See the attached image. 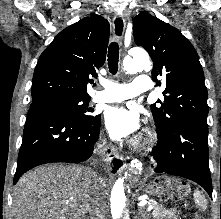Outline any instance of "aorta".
I'll return each mask as SVG.
<instances>
[{
  "mask_svg": "<svg viewBox=\"0 0 221 219\" xmlns=\"http://www.w3.org/2000/svg\"><path fill=\"white\" fill-rule=\"evenodd\" d=\"M151 62L148 54L143 50L134 49L129 52L123 60V70L127 73L134 74L145 68L150 67ZM134 185L129 184L127 179L123 181L119 178L111 195V212L113 219H129L127 213V204L130 200V190Z\"/></svg>",
  "mask_w": 221,
  "mask_h": 219,
  "instance_id": "aorta-1",
  "label": "aorta"
}]
</instances>
